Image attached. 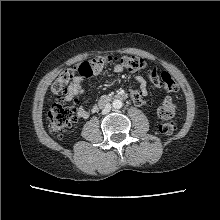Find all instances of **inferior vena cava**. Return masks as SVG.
<instances>
[{
	"label": "inferior vena cava",
	"mask_w": 220,
	"mask_h": 220,
	"mask_svg": "<svg viewBox=\"0 0 220 220\" xmlns=\"http://www.w3.org/2000/svg\"><path fill=\"white\" fill-rule=\"evenodd\" d=\"M111 110V105L110 104H106L105 107L102 110V114H107L109 113Z\"/></svg>",
	"instance_id": "inferior-vena-cava-1"
}]
</instances>
